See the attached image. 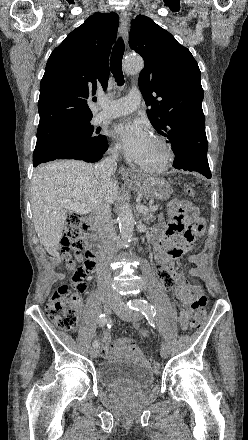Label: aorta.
Returning <instances> with one entry per match:
<instances>
[{
	"label": "aorta",
	"instance_id": "1",
	"mask_svg": "<svg viewBox=\"0 0 248 440\" xmlns=\"http://www.w3.org/2000/svg\"><path fill=\"white\" fill-rule=\"evenodd\" d=\"M143 67L144 62L142 58L137 56H129L123 63V69L128 75L138 74ZM118 223L122 244L123 246L127 247L132 239L135 224L132 208L127 202H123L119 206Z\"/></svg>",
	"mask_w": 248,
	"mask_h": 440
}]
</instances>
